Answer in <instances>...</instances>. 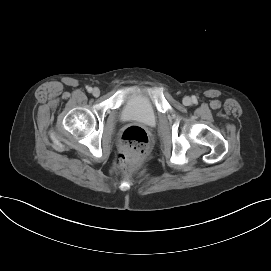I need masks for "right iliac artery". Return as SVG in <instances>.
<instances>
[{"instance_id":"1","label":"right iliac artery","mask_w":271,"mask_h":271,"mask_svg":"<svg viewBox=\"0 0 271 271\" xmlns=\"http://www.w3.org/2000/svg\"><path fill=\"white\" fill-rule=\"evenodd\" d=\"M87 91L88 92H92V88L91 87H87Z\"/></svg>"}]
</instances>
